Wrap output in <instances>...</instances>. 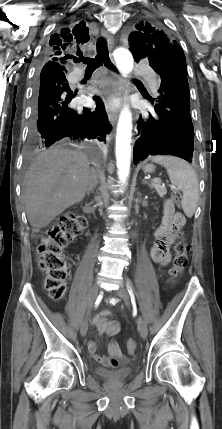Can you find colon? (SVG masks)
<instances>
[{
    "mask_svg": "<svg viewBox=\"0 0 222 429\" xmlns=\"http://www.w3.org/2000/svg\"><path fill=\"white\" fill-rule=\"evenodd\" d=\"M173 203L179 204L177 194L172 196ZM85 226L83 216L73 212L64 214L49 230L48 235L38 246V264L44 272V286L49 296L55 300L61 299L66 292L68 266L63 249L80 234ZM188 265V246L184 240L177 243L172 266L169 270L170 279L177 280ZM127 350H136L134 339L127 341Z\"/></svg>",
    "mask_w": 222,
    "mask_h": 429,
    "instance_id": "1",
    "label": "colon"
}]
</instances>
